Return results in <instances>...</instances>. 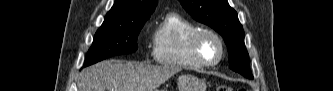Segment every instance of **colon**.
Returning a JSON list of instances; mask_svg holds the SVG:
<instances>
[{
    "instance_id": "1",
    "label": "colon",
    "mask_w": 333,
    "mask_h": 91,
    "mask_svg": "<svg viewBox=\"0 0 333 91\" xmlns=\"http://www.w3.org/2000/svg\"><path fill=\"white\" fill-rule=\"evenodd\" d=\"M217 91H232V88H230L229 86L227 85H219L217 88H216Z\"/></svg>"
}]
</instances>
